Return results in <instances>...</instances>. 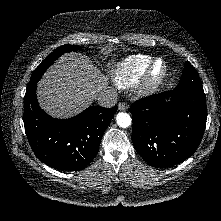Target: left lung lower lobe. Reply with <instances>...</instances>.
<instances>
[{"label": "left lung lower lobe", "mask_w": 221, "mask_h": 221, "mask_svg": "<svg viewBox=\"0 0 221 221\" xmlns=\"http://www.w3.org/2000/svg\"><path fill=\"white\" fill-rule=\"evenodd\" d=\"M130 112L135 150L160 168L181 163L196 151L207 120L204 91L187 88L139 99Z\"/></svg>", "instance_id": "left-lung-lower-lobe-1"}]
</instances>
